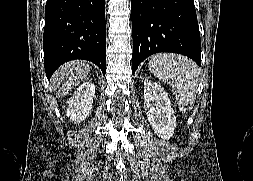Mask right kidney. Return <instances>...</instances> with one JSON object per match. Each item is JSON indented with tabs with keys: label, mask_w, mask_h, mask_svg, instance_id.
Wrapping results in <instances>:
<instances>
[{
	"label": "right kidney",
	"mask_w": 253,
	"mask_h": 181,
	"mask_svg": "<svg viewBox=\"0 0 253 181\" xmlns=\"http://www.w3.org/2000/svg\"><path fill=\"white\" fill-rule=\"evenodd\" d=\"M94 94L95 85L90 82H84L75 90L74 96L67 102L70 120L80 123L86 119L92 109Z\"/></svg>",
	"instance_id": "obj_1"
}]
</instances>
